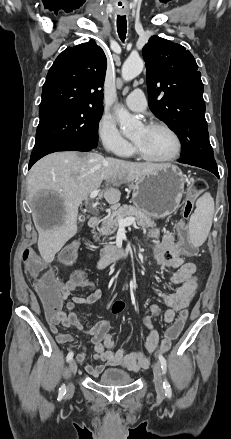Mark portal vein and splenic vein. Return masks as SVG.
<instances>
[{"instance_id": "18ae733b", "label": "portal vein and splenic vein", "mask_w": 231, "mask_h": 439, "mask_svg": "<svg viewBox=\"0 0 231 439\" xmlns=\"http://www.w3.org/2000/svg\"><path fill=\"white\" fill-rule=\"evenodd\" d=\"M98 195H99V190H94L93 192L90 193V199H93V198L97 197ZM134 223H135L134 217H127L125 219L118 220L119 227L130 226Z\"/></svg>"}]
</instances>
